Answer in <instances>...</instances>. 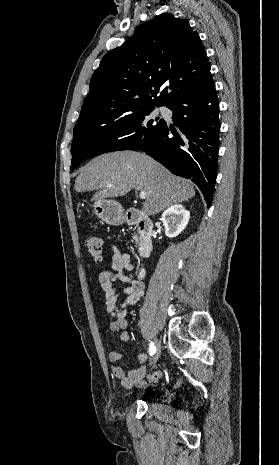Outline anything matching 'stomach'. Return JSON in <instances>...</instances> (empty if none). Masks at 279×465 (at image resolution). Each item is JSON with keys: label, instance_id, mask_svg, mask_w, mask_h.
Segmentation results:
<instances>
[{"label": "stomach", "instance_id": "stomach-1", "mask_svg": "<svg viewBox=\"0 0 279 465\" xmlns=\"http://www.w3.org/2000/svg\"><path fill=\"white\" fill-rule=\"evenodd\" d=\"M95 214L110 225H121L124 213L121 204L114 200L99 199L94 203Z\"/></svg>", "mask_w": 279, "mask_h": 465}]
</instances>
